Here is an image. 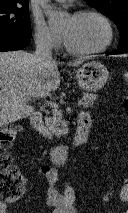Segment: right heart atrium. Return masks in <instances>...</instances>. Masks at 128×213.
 I'll list each match as a JSON object with an SVG mask.
<instances>
[{"label": "right heart atrium", "mask_w": 128, "mask_h": 213, "mask_svg": "<svg viewBox=\"0 0 128 213\" xmlns=\"http://www.w3.org/2000/svg\"><path fill=\"white\" fill-rule=\"evenodd\" d=\"M34 39L38 46L46 49H57L62 43L61 36L49 29L38 17L34 18Z\"/></svg>", "instance_id": "obj_1"}]
</instances>
